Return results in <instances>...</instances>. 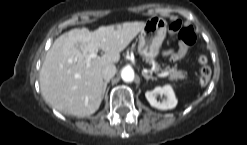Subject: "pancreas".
Instances as JSON below:
<instances>
[{
  "label": "pancreas",
  "mask_w": 247,
  "mask_h": 145,
  "mask_svg": "<svg viewBox=\"0 0 247 145\" xmlns=\"http://www.w3.org/2000/svg\"><path fill=\"white\" fill-rule=\"evenodd\" d=\"M155 71H159V67H156ZM165 72H169V77L171 80L186 79L187 78L186 72H184L182 70H177V68H175V67L171 68V67L167 66L165 68Z\"/></svg>",
  "instance_id": "pancreas-1"
}]
</instances>
